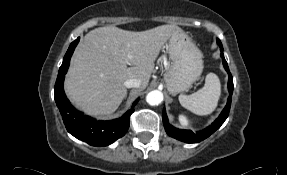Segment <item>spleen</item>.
I'll return each instance as SVG.
<instances>
[{
	"mask_svg": "<svg viewBox=\"0 0 287 175\" xmlns=\"http://www.w3.org/2000/svg\"><path fill=\"white\" fill-rule=\"evenodd\" d=\"M221 95V83L214 73L207 74L205 85L191 95H179L180 104L198 115H209L217 107Z\"/></svg>",
	"mask_w": 287,
	"mask_h": 175,
	"instance_id": "3e777b00",
	"label": "spleen"
}]
</instances>
